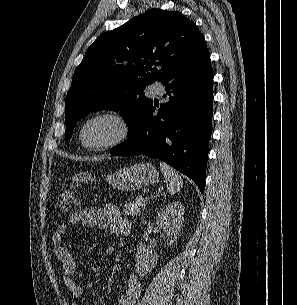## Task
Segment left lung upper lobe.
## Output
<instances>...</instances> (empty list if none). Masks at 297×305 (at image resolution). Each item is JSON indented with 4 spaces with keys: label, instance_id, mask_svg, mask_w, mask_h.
<instances>
[{
    "label": "left lung upper lobe",
    "instance_id": "1",
    "mask_svg": "<svg viewBox=\"0 0 297 305\" xmlns=\"http://www.w3.org/2000/svg\"><path fill=\"white\" fill-rule=\"evenodd\" d=\"M210 64L202 33L177 11L151 9L104 33L74 71L65 102L66 140L79 118L102 109L120 111L132 126L152 102L143 92L149 84Z\"/></svg>",
    "mask_w": 297,
    "mask_h": 305
}]
</instances>
